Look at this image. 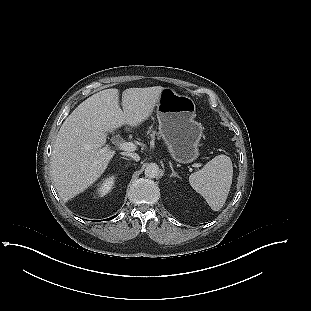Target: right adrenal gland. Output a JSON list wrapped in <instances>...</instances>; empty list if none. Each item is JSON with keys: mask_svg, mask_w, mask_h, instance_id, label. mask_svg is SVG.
<instances>
[{"mask_svg": "<svg viewBox=\"0 0 311 311\" xmlns=\"http://www.w3.org/2000/svg\"><path fill=\"white\" fill-rule=\"evenodd\" d=\"M121 159H126L127 160V158H125V157H121Z\"/></svg>", "mask_w": 311, "mask_h": 311, "instance_id": "right-adrenal-gland-1", "label": "right adrenal gland"}]
</instances>
